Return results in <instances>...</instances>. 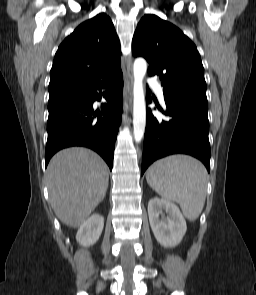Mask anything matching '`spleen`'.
Segmentation results:
<instances>
[{"label":"spleen","mask_w":256,"mask_h":295,"mask_svg":"<svg viewBox=\"0 0 256 295\" xmlns=\"http://www.w3.org/2000/svg\"><path fill=\"white\" fill-rule=\"evenodd\" d=\"M208 174L187 155H171L150 166L146 180L162 198L177 202L185 217L195 221L205 204Z\"/></svg>","instance_id":"3e777b00"}]
</instances>
